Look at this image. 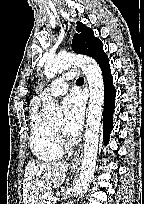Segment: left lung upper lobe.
I'll return each mask as SVG.
<instances>
[{
  "label": "left lung upper lobe",
  "mask_w": 144,
  "mask_h": 204,
  "mask_svg": "<svg viewBox=\"0 0 144 204\" xmlns=\"http://www.w3.org/2000/svg\"><path fill=\"white\" fill-rule=\"evenodd\" d=\"M76 31L77 34L74 35L72 40V49L75 52L88 55L96 61L106 56L102 42L94 36L92 29L77 22Z\"/></svg>",
  "instance_id": "1"
}]
</instances>
